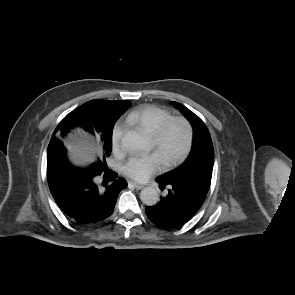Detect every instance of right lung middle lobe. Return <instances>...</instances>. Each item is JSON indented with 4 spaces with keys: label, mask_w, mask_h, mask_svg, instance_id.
Masks as SVG:
<instances>
[{
    "label": "right lung middle lobe",
    "mask_w": 295,
    "mask_h": 295,
    "mask_svg": "<svg viewBox=\"0 0 295 295\" xmlns=\"http://www.w3.org/2000/svg\"><path fill=\"white\" fill-rule=\"evenodd\" d=\"M130 105L131 103L129 101H125L120 111L117 114L102 116L101 118L97 120V123H96L97 125H95L94 131L91 133L94 134L95 132H97L101 134L105 143L104 144L105 153H104L103 160H98L97 162L93 163L91 166L99 167L102 165H106L105 156H109L112 151V132H113L114 124L116 120L120 117V115L123 114ZM72 113H73L72 121L74 123V126L88 128L93 123V120L87 108H83L82 106H80L79 108L72 111Z\"/></svg>",
    "instance_id": "dd1d6c3e"
}]
</instances>
